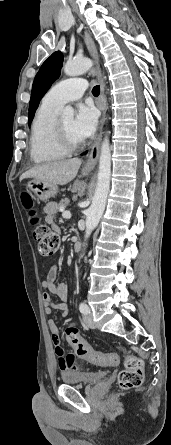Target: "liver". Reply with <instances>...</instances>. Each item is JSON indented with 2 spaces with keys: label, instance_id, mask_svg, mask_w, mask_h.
<instances>
[{
  "label": "liver",
  "instance_id": "6515ba94",
  "mask_svg": "<svg viewBox=\"0 0 171 445\" xmlns=\"http://www.w3.org/2000/svg\"><path fill=\"white\" fill-rule=\"evenodd\" d=\"M81 160L78 158L49 162L35 166L20 177L39 179L55 185H66L72 181L80 168Z\"/></svg>",
  "mask_w": 171,
  "mask_h": 445
}]
</instances>
